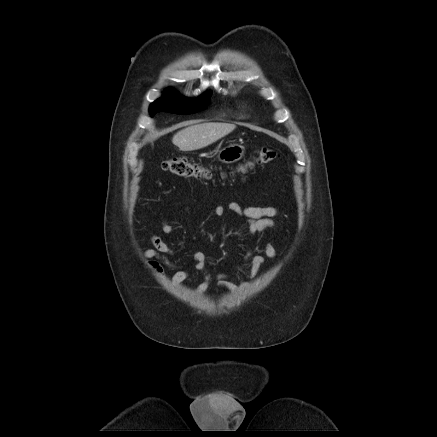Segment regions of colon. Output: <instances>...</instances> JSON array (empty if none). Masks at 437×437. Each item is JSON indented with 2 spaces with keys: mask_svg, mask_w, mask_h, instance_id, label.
Returning <instances> with one entry per match:
<instances>
[{
  "mask_svg": "<svg viewBox=\"0 0 437 437\" xmlns=\"http://www.w3.org/2000/svg\"><path fill=\"white\" fill-rule=\"evenodd\" d=\"M279 152L269 147L259 148L253 161L246 162L238 167L239 171H245L248 167L254 163L264 165L270 164L279 158ZM162 169L171 174L186 177V178H209L211 177L210 171L203 165L190 161L183 157H174L166 159L161 164Z\"/></svg>",
  "mask_w": 437,
  "mask_h": 437,
  "instance_id": "obj_1",
  "label": "colon"
}]
</instances>
